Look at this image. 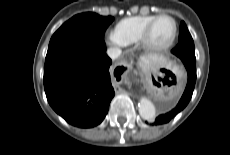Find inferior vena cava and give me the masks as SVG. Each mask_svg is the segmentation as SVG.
Returning <instances> with one entry per match:
<instances>
[{
	"instance_id": "obj_1",
	"label": "inferior vena cava",
	"mask_w": 230,
	"mask_h": 155,
	"mask_svg": "<svg viewBox=\"0 0 230 155\" xmlns=\"http://www.w3.org/2000/svg\"><path fill=\"white\" fill-rule=\"evenodd\" d=\"M122 51L119 48L111 47L107 49V55L112 59L115 60L121 55Z\"/></svg>"
}]
</instances>
